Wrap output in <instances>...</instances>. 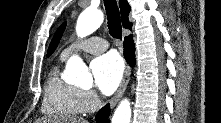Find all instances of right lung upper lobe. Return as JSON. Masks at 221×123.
Here are the masks:
<instances>
[{
    "label": "right lung upper lobe",
    "instance_id": "1",
    "mask_svg": "<svg viewBox=\"0 0 221 123\" xmlns=\"http://www.w3.org/2000/svg\"><path fill=\"white\" fill-rule=\"evenodd\" d=\"M119 6H120V11H121V18H122L123 27L127 28V29H131L132 24L128 20L130 6H129L127 0H120Z\"/></svg>",
    "mask_w": 221,
    "mask_h": 123
}]
</instances>
